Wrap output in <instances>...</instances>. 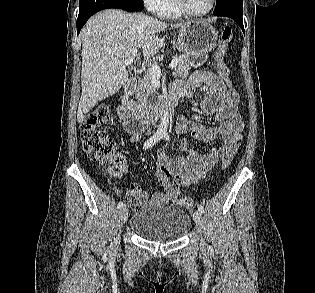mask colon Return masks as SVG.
<instances>
[{"mask_svg": "<svg viewBox=\"0 0 315 293\" xmlns=\"http://www.w3.org/2000/svg\"><path fill=\"white\" fill-rule=\"evenodd\" d=\"M233 36V30L230 26H225L220 34L219 44L215 51L214 58L217 65V74L221 79L222 85H227L230 94L236 93V88L232 84V78H229L230 70L226 65L224 58L227 46ZM110 108L107 105H100L91 111L85 118L81 127V143L86 155L100 162L109 164L108 174L112 178H118L124 171V156L117 152V144L115 140L104 130L100 128L110 119ZM230 164L229 159H224L222 168L226 169ZM130 190H138L130 187ZM178 203L186 208L192 209L194 202L189 196H181Z\"/></svg>", "mask_w": 315, "mask_h": 293, "instance_id": "colon-1", "label": "colon"}]
</instances>
